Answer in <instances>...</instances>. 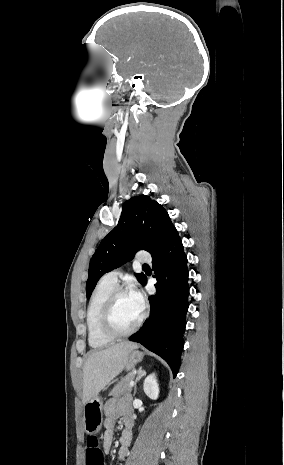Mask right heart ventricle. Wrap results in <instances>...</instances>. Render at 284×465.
I'll return each instance as SVG.
<instances>
[{"label":"right heart ventricle","instance_id":"obj_1","mask_svg":"<svg viewBox=\"0 0 284 465\" xmlns=\"http://www.w3.org/2000/svg\"><path fill=\"white\" fill-rule=\"evenodd\" d=\"M115 287L100 280L90 296L85 317L89 346H109L113 342L101 333L100 320L106 301Z\"/></svg>","mask_w":284,"mask_h":465}]
</instances>
